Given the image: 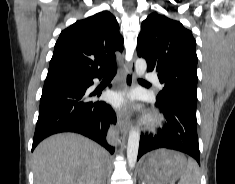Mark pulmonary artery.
<instances>
[{
	"label": "pulmonary artery",
	"mask_w": 235,
	"mask_h": 184,
	"mask_svg": "<svg viewBox=\"0 0 235 184\" xmlns=\"http://www.w3.org/2000/svg\"><path fill=\"white\" fill-rule=\"evenodd\" d=\"M148 77L150 78V80H152L153 82H155L156 84L159 85L158 79H157V77H156L155 74L149 73V74H148Z\"/></svg>",
	"instance_id": "e3ab8cb5"
}]
</instances>
